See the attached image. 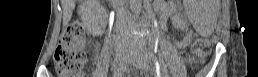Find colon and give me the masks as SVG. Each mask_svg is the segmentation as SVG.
Here are the masks:
<instances>
[{"label":"colon","instance_id":"1","mask_svg":"<svg viewBox=\"0 0 258 77\" xmlns=\"http://www.w3.org/2000/svg\"><path fill=\"white\" fill-rule=\"evenodd\" d=\"M85 62L83 27L80 23H72L64 30L55 51V68L61 77H81L84 74Z\"/></svg>","mask_w":258,"mask_h":77}]
</instances>
